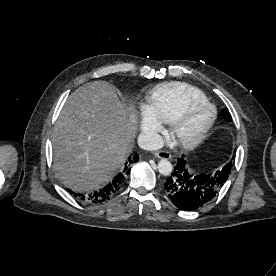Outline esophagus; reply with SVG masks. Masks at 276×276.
Returning <instances> with one entry per match:
<instances>
[{"label":"esophagus","instance_id":"esophagus-1","mask_svg":"<svg viewBox=\"0 0 276 276\" xmlns=\"http://www.w3.org/2000/svg\"><path fill=\"white\" fill-rule=\"evenodd\" d=\"M154 155L157 158H161V159H170L171 158L170 153L167 151H163V150L154 152Z\"/></svg>","mask_w":276,"mask_h":276}]
</instances>
